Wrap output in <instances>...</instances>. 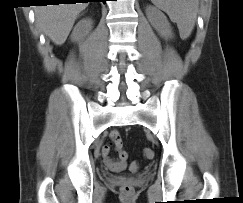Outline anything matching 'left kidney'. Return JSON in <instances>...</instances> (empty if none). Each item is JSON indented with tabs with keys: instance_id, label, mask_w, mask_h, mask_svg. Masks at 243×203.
<instances>
[{
	"instance_id": "5707ae66",
	"label": "left kidney",
	"mask_w": 243,
	"mask_h": 203,
	"mask_svg": "<svg viewBox=\"0 0 243 203\" xmlns=\"http://www.w3.org/2000/svg\"><path fill=\"white\" fill-rule=\"evenodd\" d=\"M147 18L151 25L165 38L172 37V29L166 16L159 10L149 7L146 11Z\"/></svg>"
}]
</instances>
